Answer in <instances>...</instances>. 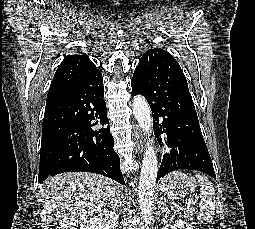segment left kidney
Instances as JSON below:
<instances>
[{"label":"left kidney","instance_id":"left-kidney-1","mask_svg":"<svg viewBox=\"0 0 255 229\" xmlns=\"http://www.w3.org/2000/svg\"><path fill=\"white\" fill-rule=\"evenodd\" d=\"M172 229H193L190 224L182 220L173 222Z\"/></svg>","mask_w":255,"mask_h":229}]
</instances>
